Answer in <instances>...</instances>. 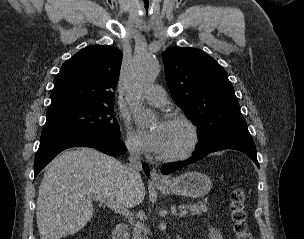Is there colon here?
<instances>
[{
	"instance_id": "5ec220e1",
	"label": "colon",
	"mask_w": 304,
	"mask_h": 239,
	"mask_svg": "<svg viewBox=\"0 0 304 239\" xmlns=\"http://www.w3.org/2000/svg\"><path fill=\"white\" fill-rule=\"evenodd\" d=\"M229 212L235 238L253 239L247 220L246 193L240 187H236L230 192Z\"/></svg>"
}]
</instances>
